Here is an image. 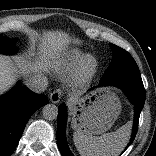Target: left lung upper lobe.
<instances>
[{
    "label": "left lung upper lobe",
    "mask_w": 156,
    "mask_h": 156,
    "mask_svg": "<svg viewBox=\"0 0 156 156\" xmlns=\"http://www.w3.org/2000/svg\"><path fill=\"white\" fill-rule=\"evenodd\" d=\"M113 59L102 79L140 78V72L132 56L116 45L110 44Z\"/></svg>",
    "instance_id": "left-lung-upper-lobe-1"
}]
</instances>
